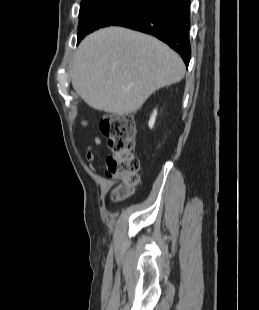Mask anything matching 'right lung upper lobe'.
<instances>
[{
  "label": "right lung upper lobe",
  "mask_w": 259,
  "mask_h": 310,
  "mask_svg": "<svg viewBox=\"0 0 259 310\" xmlns=\"http://www.w3.org/2000/svg\"><path fill=\"white\" fill-rule=\"evenodd\" d=\"M102 1H105V0H82L81 4H80V8L81 9L87 8V7L93 6L95 4H98Z\"/></svg>",
  "instance_id": "1"
}]
</instances>
